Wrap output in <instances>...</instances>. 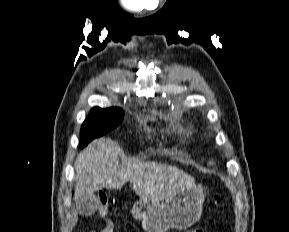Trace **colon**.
<instances>
[{
	"instance_id": "obj_1",
	"label": "colon",
	"mask_w": 289,
	"mask_h": 232,
	"mask_svg": "<svg viewBox=\"0 0 289 232\" xmlns=\"http://www.w3.org/2000/svg\"><path fill=\"white\" fill-rule=\"evenodd\" d=\"M216 201L218 204H220L222 201L221 196H217ZM107 212H108V199L105 195H101L99 198V213L101 215H106ZM101 232H113V231L110 226H107ZM187 232H205V231L202 229H194V230H189Z\"/></svg>"
}]
</instances>
